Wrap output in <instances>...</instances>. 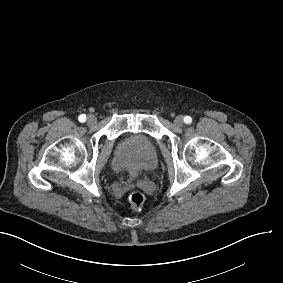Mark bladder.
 <instances>
[{"instance_id": "31cf9c89", "label": "bladder", "mask_w": 283, "mask_h": 283, "mask_svg": "<svg viewBox=\"0 0 283 283\" xmlns=\"http://www.w3.org/2000/svg\"><path fill=\"white\" fill-rule=\"evenodd\" d=\"M114 161L123 171L119 175L129 180L144 179L159 164L156 142L148 133L127 132L115 144Z\"/></svg>"}]
</instances>
